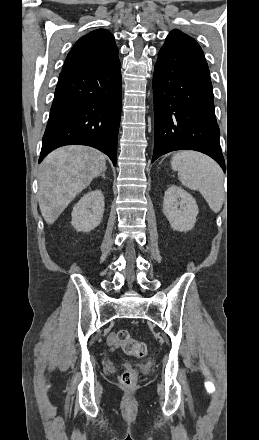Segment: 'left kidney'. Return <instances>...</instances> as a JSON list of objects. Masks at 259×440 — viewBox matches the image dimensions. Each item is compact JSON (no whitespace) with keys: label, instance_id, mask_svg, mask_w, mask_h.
<instances>
[{"label":"left kidney","instance_id":"obj_1","mask_svg":"<svg viewBox=\"0 0 259 440\" xmlns=\"http://www.w3.org/2000/svg\"><path fill=\"white\" fill-rule=\"evenodd\" d=\"M163 213L174 230L187 232L194 227L199 209L191 194L171 185L164 194Z\"/></svg>","mask_w":259,"mask_h":440}]
</instances>
